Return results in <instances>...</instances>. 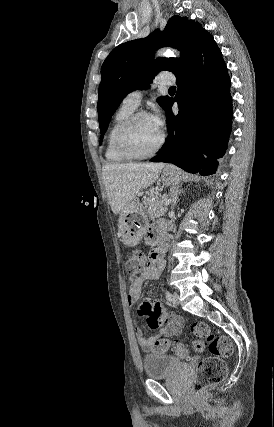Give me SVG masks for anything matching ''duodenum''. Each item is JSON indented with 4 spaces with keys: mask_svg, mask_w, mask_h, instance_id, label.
Segmentation results:
<instances>
[{
    "mask_svg": "<svg viewBox=\"0 0 274 427\" xmlns=\"http://www.w3.org/2000/svg\"><path fill=\"white\" fill-rule=\"evenodd\" d=\"M164 232L165 231H163L161 233V235L158 238L159 241H158L157 245L150 252V259L153 262H159L161 260V257L163 255L164 251H165L166 244L164 241Z\"/></svg>",
    "mask_w": 274,
    "mask_h": 427,
    "instance_id": "410a0bca",
    "label": "duodenum"
}]
</instances>
